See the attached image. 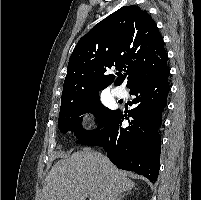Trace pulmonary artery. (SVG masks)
Returning <instances> with one entry per match:
<instances>
[{
  "label": "pulmonary artery",
  "mask_w": 201,
  "mask_h": 200,
  "mask_svg": "<svg viewBox=\"0 0 201 200\" xmlns=\"http://www.w3.org/2000/svg\"><path fill=\"white\" fill-rule=\"evenodd\" d=\"M112 95L119 99H122L126 96V90L121 87H115L114 89H112Z\"/></svg>",
  "instance_id": "pulmonary-artery-1"
}]
</instances>
